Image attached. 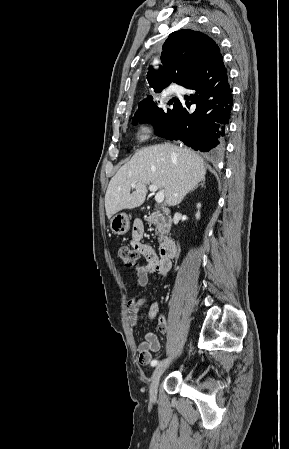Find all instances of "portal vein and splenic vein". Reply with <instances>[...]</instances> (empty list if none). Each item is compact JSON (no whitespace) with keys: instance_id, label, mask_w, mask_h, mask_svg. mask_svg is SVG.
<instances>
[{"instance_id":"18ae733b","label":"portal vein and splenic vein","mask_w":289,"mask_h":449,"mask_svg":"<svg viewBox=\"0 0 289 449\" xmlns=\"http://www.w3.org/2000/svg\"><path fill=\"white\" fill-rule=\"evenodd\" d=\"M131 187H132V188H135V187H136V183H131ZM157 189H158L157 185H155V184L149 185V190H150L151 192H156ZM155 201H156L157 203H162V202L164 201V192H163V191H159V192L156 193V195H155Z\"/></svg>"}]
</instances>
